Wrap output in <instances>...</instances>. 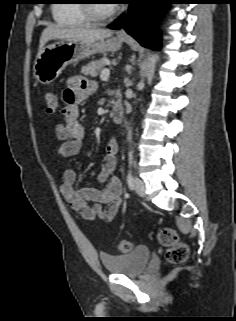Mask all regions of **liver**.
<instances>
[{
	"instance_id": "liver-1",
	"label": "liver",
	"mask_w": 236,
	"mask_h": 321,
	"mask_svg": "<svg viewBox=\"0 0 236 321\" xmlns=\"http://www.w3.org/2000/svg\"><path fill=\"white\" fill-rule=\"evenodd\" d=\"M113 31L109 29H91V28H60L56 25H48L40 37L39 51L44 45L53 39L61 40H80L84 42H96L111 37Z\"/></svg>"
}]
</instances>
